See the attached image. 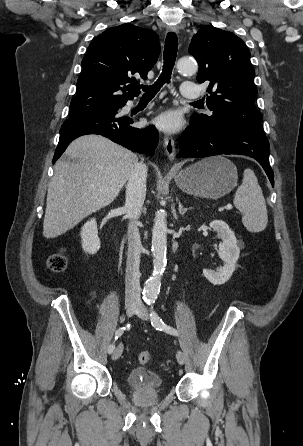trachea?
Wrapping results in <instances>:
<instances>
[{"mask_svg":"<svg viewBox=\"0 0 303 446\" xmlns=\"http://www.w3.org/2000/svg\"><path fill=\"white\" fill-rule=\"evenodd\" d=\"M178 50V39L174 32L167 34L164 46V65L162 73L153 85H143V97H154L160 88L170 82L171 73L175 64L176 54ZM198 104L199 102H194Z\"/></svg>","mask_w":303,"mask_h":446,"instance_id":"3493384b","label":"trachea"}]
</instances>
